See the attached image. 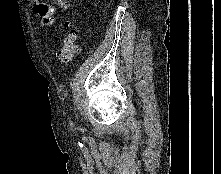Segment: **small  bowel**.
I'll list each match as a JSON object with an SVG mask.
<instances>
[{
	"label": "small bowel",
	"mask_w": 221,
	"mask_h": 174,
	"mask_svg": "<svg viewBox=\"0 0 221 174\" xmlns=\"http://www.w3.org/2000/svg\"><path fill=\"white\" fill-rule=\"evenodd\" d=\"M35 3V13L40 17L43 26L53 24L55 20V9L53 6L41 2L40 0H32ZM53 3L61 10H67L70 6L69 0H52Z\"/></svg>",
	"instance_id": "small-bowel-1"
}]
</instances>
